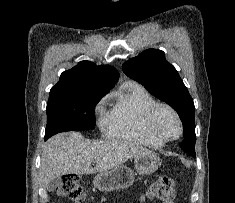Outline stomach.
Returning a JSON list of instances; mask_svg holds the SVG:
<instances>
[{"label": "stomach", "instance_id": "stomach-1", "mask_svg": "<svg viewBox=\"0 0 235 203\" xmlns=\"http://www.w3.org/2000/svg\"><path fill=\"white\" fill-rule=\"evenodd\" d=\"M160 164L159 156L150 150L137 153L134 165L138 174H152ZM134 182V173L127 166L121 165L112 170L97 174L93 184L100 191H115L128 188Z\"/></svg>", "mask_w": 235, "mask_h": 203}]
</instances>
